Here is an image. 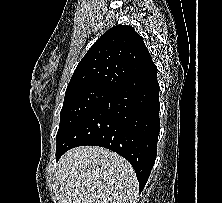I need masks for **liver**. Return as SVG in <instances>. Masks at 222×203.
Returning a JSON list of instances; mask_svg holds the SVG:
<instances>
[{
    "instance_id": "1",
    "label": "liver",
    "mask_w": 222,
    "mask_h": 203,
    "mask_svg": "<svg viewBox=\"0 0 222 203\" xmlns=\"http://www.w3.org/2000/svg\"><path fill=\"white\" fill-rule=\"evenodd\" d=\"M60 203H136L139 183L131 164L96 146L67 151L58 162Z\"/></svg>"
}]
</instances>
